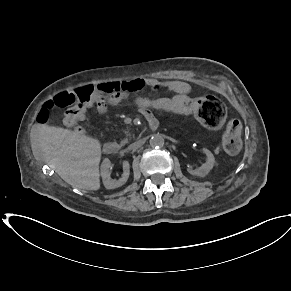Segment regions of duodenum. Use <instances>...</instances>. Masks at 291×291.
<instances>
[{"label": "duodenum", "mask_w": 291, "mask_h": 291, "mask_svg": "<svg viewBox=\"0 0 291 291\" xmlns=\"http://www.w3.org/2000/svg\"><path fill=\"white\" fill-rule=\"evenodd\" d=\"M156 121L154 119H149V127L150 129H154L156 127ZM120 149V146L114 142H107L103 146V152L105 154H114Z\"/></svg>", "instance_id": "duodenum-1"}]
</instances>
